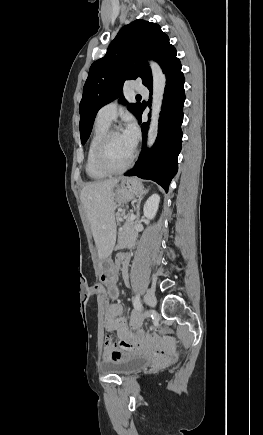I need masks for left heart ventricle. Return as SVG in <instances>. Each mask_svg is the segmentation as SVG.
I'll list each match as a JSON object with an SVG mask.
<instances>
[{
    "label": "left heart ventricle",
    "mask_w": 263,
    "mask_h": 435,
    "mask_svg": "<svg viewBox=\"0 0 263 435\" xmlns=\"http://www.w3.org/2000/svg\"><path fill=\"white\" fill-rule=\"evenodd\" d=\"M133 150L123 134L119 133L110 138L105 149L104 159L109 166L118 168L128 161Z\"/></svg>",
    "instance_id": "left-heart-ventricle-1"
}]
</instances>
